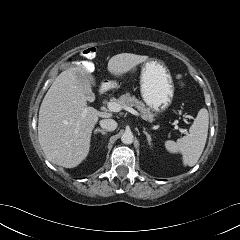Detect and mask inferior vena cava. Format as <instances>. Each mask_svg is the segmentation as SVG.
<instances>
[{
    "label": "inferior vena cava",
    "instance_id": "1",
    "mask_svg": "<svg viewBox=\"0 0 240 240\" xmlns=\"http://www.w3.org/2000/svg\"><path fill=\"white\" fill-rule=\"evenodd\" d=\"M100 126L106 131H113L117 128V122L113 119H103L100 121Z\"/></svg>",
    "mask_w": 240,
    "mask_h": 240
}]
</instances>
